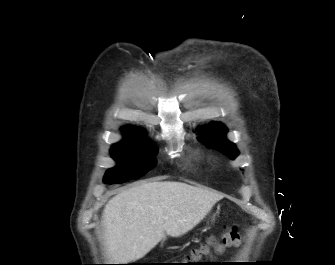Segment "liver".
I'll return each mask as SVG.
<instances>
[{"label":"liver","mask_w":335,"mask_h":265,"mask_svg":"<svg viewBox=\"0 0 335 265\" xmlns=\"http://www.w3.org/2000/svg\"><path fill=\"white\" fill-rule=\"evenodd\" d=\"M222 198L205 188L170 181L142 182L122 190L103 210L106 254L116 264L136 261L166 235L179 237L192 230Z\"/></svg>","instance_id":"liver-1"}]
</instances>
